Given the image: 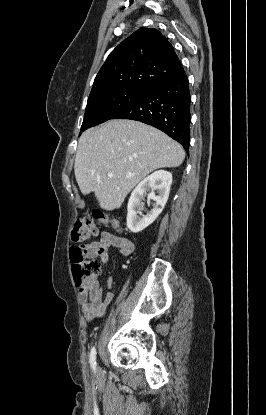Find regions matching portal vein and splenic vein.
<instances>
[{"label":"portal vein and splenic vein","mask_w":266,"mask_h":415,"mask_svg":"<svg viewBox=\"0 0 266 415\" xmlns=\"http://www.w3.org/2000/svg\"><path fill=\"white\" fill-rule=\"evenodd\" d=\"M113 176H114V174H113L112 172H109V173H108V177H109V178H112ZM131 176H132V175H127V176H126V178H129V177H131Z\"/></svg>","instance_id":"obj_1"}]
</instances>
